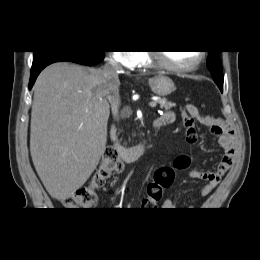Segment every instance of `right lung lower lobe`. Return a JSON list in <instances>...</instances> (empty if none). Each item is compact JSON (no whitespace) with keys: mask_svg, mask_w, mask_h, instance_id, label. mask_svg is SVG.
Instances as JSON below:
<instances>
[{"mask_svg":"<svg viewBox=\"0 0 260 260\" xmlns=\"http://www.w3.org/2000/svg\"><path fill=\"white\" fill-rule=\"evenodd\" d=\"M105 57L103 51H60L43 52L33 58L29 88H31L39 73L49 64L60 61H70L78 64L93 66Z\"/></svg>","mask_w":260,"mask_h":260,"instance_id":"right-lung-lower-lobe-1","label":"right lung lower lobe"}]
</instances>
